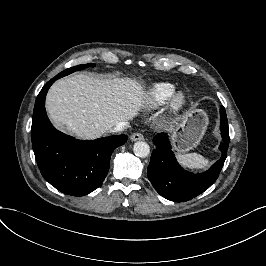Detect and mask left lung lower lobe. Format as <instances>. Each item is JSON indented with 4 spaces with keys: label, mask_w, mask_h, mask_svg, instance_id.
Returning <instances> with one entry per match:
<instances>
[{
    "label": "left lung lower lobe",
    "mask_w": 266,
    "mask_h": 266,
    "mask_svg": "<svg viewBox=\"0 0 266 266\" xmlns=\"http://www.w3.org/2000/svg\"><path fill=\"white\" fill-rule=\"evenodd\" d=\"M220 119L222 142L219 149L222 156L203 173L188 172L178 164L166 133H159L154 137L156 148L148 166V178L161 196L174 202L188 201L203 193L216 181L226 159L229 144L228 122L223 106L220 109Z\"/></svg>",
    "instance_id": "0a47b994"
}]
</instances>
